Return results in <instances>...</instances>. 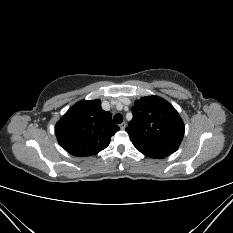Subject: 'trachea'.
I'll list each match as a JSON object with an SVG mask.
<instances>
[{
    "label": "trachea",
    "mask_w": 233,
    "mask_h": 233,
    "mask_svg": "<svg viewBox=\"0 0 233 233\" xmlns=\"http://www.w3.org/2000/svg\"><path fill=\"white\" fill-rule=\"evenodd\" d=\"M113 120L116 124H120L123 121V116L121 114H116L114 115Z\"/></svg>",
    "instance_id": "trachea-1"
}]
</instances>
